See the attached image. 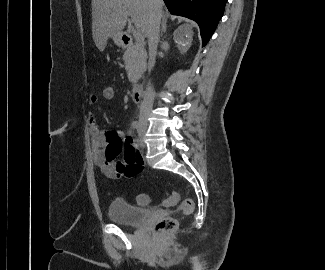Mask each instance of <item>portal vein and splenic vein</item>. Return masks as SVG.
I'll return each instance as SVG.
<instances>
[{"instance_id":"18ae733b","label":"portal vein and splenic vein","mask_w":325,"mask_h":270,"mask_svg":"<svg viewBox=\"0 0 325 270\" xmlns=\"http://www.w3.org/2000/svg\"><path fill=\"white\" fill-rule=\"evenodd\" d=\"M127 16H130V15L127 13ZM133 36H134L137 43H142L144 41L143 35L137 29H133Z\"/></svg>"}]
</instances>
